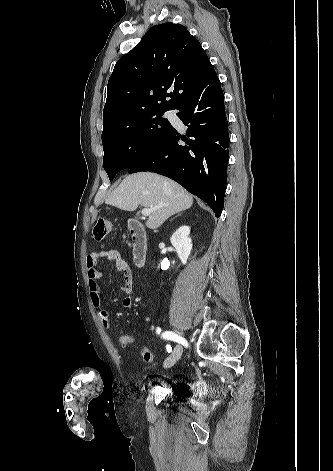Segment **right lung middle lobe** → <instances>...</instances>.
I'll list each match as a JSON object with an SVG mask.
<instances>
[{
    "instance_id": "obj_1",
    "label": "right lung middle lobe",
    "mask_w": 333,
    "mask_h": 471,
    "mask_svg": "<svg viewBox=\"0 0 333 471\" xmlns=\"http://www.w3.org/2000/svg\"><path fill=\"white\" fill-rule=\"evenodd\" d=\"M164 110L152 109L137 113L110 125L102 132L103 166L110 181L122 169L130 168L171 129L162 118Z\"/></svg>"
}]
</instances>
